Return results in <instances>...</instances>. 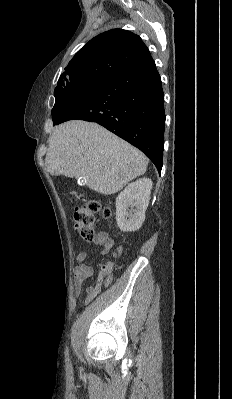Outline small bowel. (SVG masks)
<instances>
[{
	"label": "small bowel",
	"mask_w": 232,
	"mask_h": 399,
	"mask_svg": "<svg viewBox=\"0 0 232 399\" xmlns=\"http://www.w3.org/2000/svg\"><path fill=\"white\" fill-rule=\"evenodd\" d=\"M111 242H105L101 245L98 253L100 255L106 254L108 250L111 248ZM89 257V253L87 251H81L77 257V266L74 268V278H73V286H74V295L78 297L80 295L82 285L85 279L90 275L92 269L87 265V259ZM93 295V287L89 286L86 289V301H88Z\"/></svg>",
	"instance_id": "1"
}]
</instances>
